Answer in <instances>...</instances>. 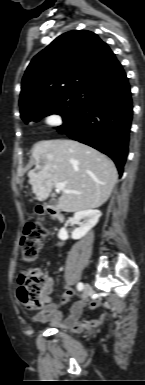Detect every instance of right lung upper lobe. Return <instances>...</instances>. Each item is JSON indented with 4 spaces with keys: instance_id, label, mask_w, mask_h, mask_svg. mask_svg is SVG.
I'll use <instances>...</instances> for the list:
<instances>
[{
    "instance_id": "cb5924a9",
    "label": "right lung upper lobe",
    "mask_w": 145,
    "mask_h": 385,
    "mask_svg": "<svg viewBox=\"0 0 145 385\" xmlns=\"http://www.w3.org/2000/svg\"><path fill=\"white\" fill-rule=\"evenodd\" d=\"M123 72L114 53L93 32L64 33L30 62L22 80L21 116L71 90L93 91Z\"/></svg>"
}]
</instances>
